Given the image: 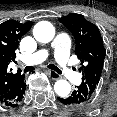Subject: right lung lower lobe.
Segmentation results:
<instances>
[{
	"mask_svg": "<svg viewBox=\"0 0 117 117\" xmlns=\"http://www.w3.org/2000/svg\"><path fill=\"white\" fill-rule=\"evenodd\" d=\"M26 84L24 76L16 80L9 88L7 94L0 99V104L7 107H16L23 98L25 93Z\"/></svg>",
	"mask_w": 117,
	"mask_h": 117,
	"instance_id": "right-lung-lower-lobe-1",
	"label": "right lung lower lobe"
}]
</instances>
